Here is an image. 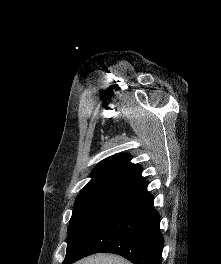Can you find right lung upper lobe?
Wrapping results in <instances>:
<instances>
[{
  "instance_id": "obj_1",
  "label": "right lung upper lobe",
  "mask_w": 221,
  "mask_h": 264,
  "mask_svg": "<svg viewBox=\"0 0 221 264\" xmlns=\"http://www.w3.org/2000/svg\"><path fill=\"white\" fill-rule=\"evenodd\" d=\"M130 160L129 154H116L104 159L93 170L92 179L81 192L98 188L127 189L143 180L142 168Z\"/></svg>"
}]
</instances>
